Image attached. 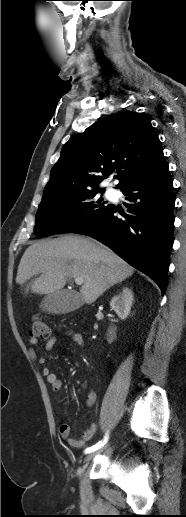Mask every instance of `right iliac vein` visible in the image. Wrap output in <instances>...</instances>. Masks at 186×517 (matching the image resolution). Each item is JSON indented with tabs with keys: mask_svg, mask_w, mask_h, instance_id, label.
<instances>
[{
	"mask_svg": "<svg viewBox=\"0 0 186 517\" xmlns=\"http://www.w3.org/2000/svg\"><path fill=\"white\" fill-rule=\"evenodd\" d=\"M97 453H99V451L97 452H91L89 453L88 455H86L85 457V463H88L90 460H92L96 455Z\"/></svg>",
	"mask_w": 186,
	"mask_h": 517,
	"instance_id": "63e3f726",
	"label": "right iliac vein"
}]
</instances>
